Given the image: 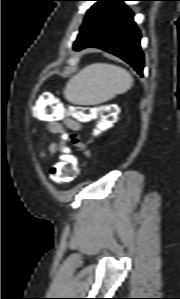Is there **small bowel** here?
<instances>
[{
    "label": "small bowel",
    "mask_w": 180,
    "mask_h": 299,
    "mask_svg": "<svg viewBox=\"0 0 180 299\" xmlns=\"http://www.w3.org/2000/svg\"><path fill=\"white\" fill-rule=\"evenodd\" d=\"M47 126L50 132L58 136H65L66 128L74 132H77L81 129V124L78 121L68 117H64L62 119H52L48 121ZM71 141L75 145V147L83 151L86 156H89L88 150L76 137H71ZM67 142V139L64 138L61 139L59 142L49 143L46 147L42 149L41 156H51L58 151H64L66 149Z\"/></svg>",
    "instance_id": "1"
}]
</instances>
